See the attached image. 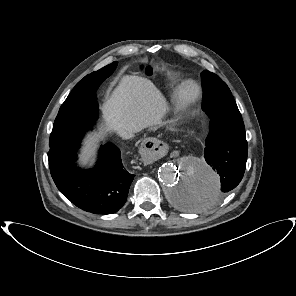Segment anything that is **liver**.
Returning <instances> with one entry per match:
<instances>
[{
    "label": "liver",
    "mask_w": 296,
    "mask_h": 296,
    "mask_svg": "<svg viewBox=\"0 0 296 296\" xmlns=\"http://www.w3.org/2000/svg\"><path fill=\"white\" fill-rule=\"evenodd\" d=\"M166 100L148 79L124 76L111 97L103 104L102 113L107 130L128 127L138 131L161 123L166 114ZM92 141L86 142L81 160L86 163L92 155Z\"/></svg>",
    "instance_id": "obj_1"
}]
</instances>
